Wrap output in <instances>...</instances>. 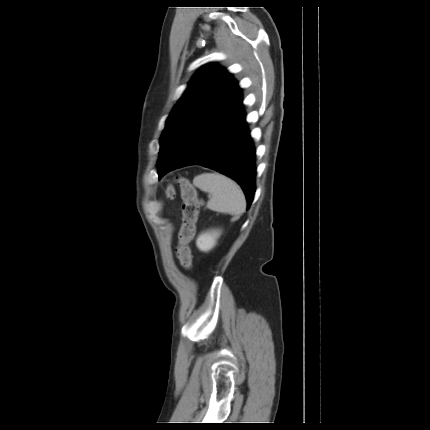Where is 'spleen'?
Instances as JSON below:
<instances>
[{"mask_svg": "<svg viewBox=\"0 0 430 430\" xmlns=\"http://www.w3.org/2000/svg\"><path fill=\"white\" fill-rule=\"evenodd\" d=\"M193 184L212 195L207 207L213 211L239 215L246 209L241 188L229 177L218 173H202L193 179Z\"/></svg>", "mask_w": 430, "mask_h": 430, "instance_id": "spleen-1", "label": "spleen"}]
</instances>
